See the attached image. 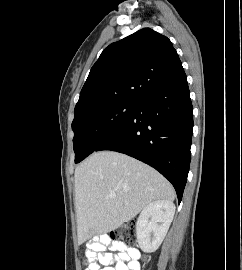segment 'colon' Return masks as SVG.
<instances>
[{
	"instance_id": "5ec220e1",
	"label": "colon",
	"mask_w": 242,
	"mask_h": 270,
	"mask_svg": "<svg viewBox=\"0 0 242 270\" xmlns=\"http://www.w3.org/2000/svg\"><path fill=\"white\" fill-rule=\"evenodd\" d=\"M110 239L121 243H133L136 241V222H126L116 231L110 234ZM84 264L89 266V262L84 260Z\"/></svg>"
}]
</instances>
